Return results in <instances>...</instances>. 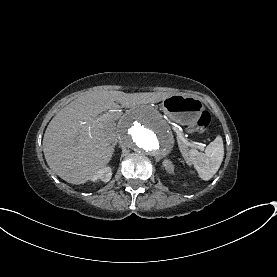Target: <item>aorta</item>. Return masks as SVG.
Here are the masks:
<instances>
[{
	"label": "aorta",
	"instance_id": "obj_1",
	"mask_svg": "<svg viewBox=\"0 0 277 277\" xmlns=\"http://www.w3.org/2000/svg\"><path fill=\"white\" fill-rule=\"evenodd\" d=\"M120 141L136 154L156 160L169 154L174 146L168 123L146 108L136 109L122 119Z\"/></svg>",
	"mask_w": 277,
	"mask_h": 277
}]
</instances>
